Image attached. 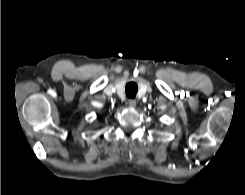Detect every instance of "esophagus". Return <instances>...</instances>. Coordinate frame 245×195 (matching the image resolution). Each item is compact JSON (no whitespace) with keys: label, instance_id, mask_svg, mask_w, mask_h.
Returning <instances> with one entry per match:
<instances>
[{"label":"esophagus","instance_id":"esophagus-1","mask_svg":"<svg viewBox=\"0 0 245 195\" xmlns=\"http://www.w3.org/2000/svg\"><path fill=\"white\" fill-rule=\"evenodd\" d=\"M127 103H128V106L130 108H135L136 107V100L135 99H129Z\"/></svg>","mask_w":245,"mask_h":195}]
</instances>
